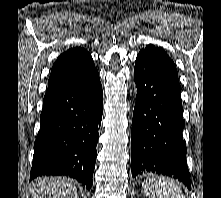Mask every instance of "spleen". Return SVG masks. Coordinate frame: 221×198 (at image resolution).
<instances>
[{
  "instance_id": "3e777b00",
  "label": "spleen",
  "mask_w": 221,
  "mask_h": 198,
  "mask_svg": "<svg viewBox=\"0 0 221 198\" xmlns=\"http://www.w3.org/2000/svg\"><path fill=\"white\" fill-rule=\"evenodd\" d=\"M142 188L149 198H185L177 184L165 176L150 178L142 183Z\"/></svg>"
}]
</instances>
